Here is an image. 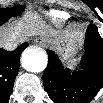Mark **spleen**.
<instances>
[{
	"mask_svg": "<svg viewBox=\"0 0 103 103\" xmlns=\"http://www.w3.org/2000/svg\"><path fill=\"white\" fill-rule=\"evenodd\" d=\"M68 66H69L71 69L75 70V69L77 68V66H78V60H77V59H74V60L70 61V62L68 63Z\"/></svg>",
	"mask_w": 103,
	"mask_h": 103,
	"instance_id": "obj_1",
	"label": "spleen"
}]
</instances>
